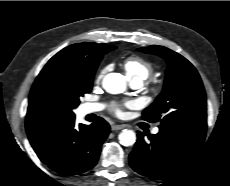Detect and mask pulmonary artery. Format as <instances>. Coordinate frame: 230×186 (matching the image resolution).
<instances>
[{
    "label": "pulmonary artery",
    "mask_w": 230,
    "mask_h": 186,
    "mask_svg": "<svg viewBox=\"0 0 230 186\" xmlns=\"http://www.w3.org/2000/svg\"><path fill=\"white\" fill-rule=\"evenodd\" d=\"M130 84L135 89L140 88L142 86V82L138 81V80L130 81ZM102 109H103L102 104L88 103V104H85V106H84V112L85 113L98 112V111H101ZM158 132H159L158 127H154L152 129L153 134H157Z\"/></svg>",
    "instance_id": "e3ab8cb5"
}]
</instances>
